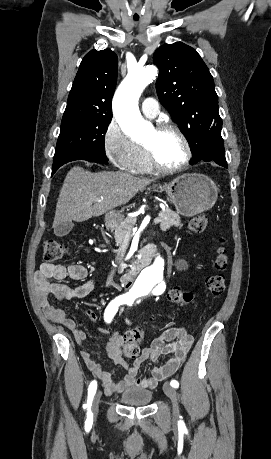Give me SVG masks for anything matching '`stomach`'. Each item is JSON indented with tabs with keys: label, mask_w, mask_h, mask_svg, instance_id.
Segmentation results:
<instances>
[{
	"label": "stomach",
	"mask_w": 271,
	"mask_h": 459,
	"mask_svg": "<svg viewBox=\"0 0 271 459\" xmlns=\"http://www.w3.org/2000/svg\"><path fill=\"white\" fill-rule=\"evenodd\" d=\"M154 192H166L171 198L178 214L181 216H197L211 210L218 198V188L208 176L203 174H183L169 184L154 186ZM107 220H122L121 214H107Z\"/></svg>",
	"instance_id": "obj_1"
}]
</instances>
